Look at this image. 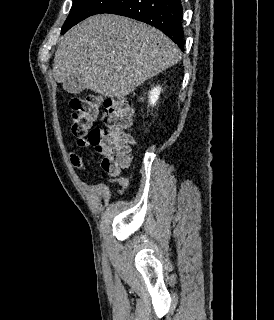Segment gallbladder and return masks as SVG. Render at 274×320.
I'll return each instance as SVG.
<instances>
[{
    "mask_svg": "<svg viewBox=\"0 0 274 320\" xmlns=\"http://www.w3.org/2000/svg\"><path fill=\"white\" fill-rule=\"evenodd\" d=\"M65 83L66 89L69 90V95H82L86 79L83 78L82 72H71L70 78H66Z\"/></svg>",
    "mask_w": 274,
    "mask_h": 320,
    "instance_id": "gallbladder-1",
    "label": "gallbladder"
}]
</instances>
